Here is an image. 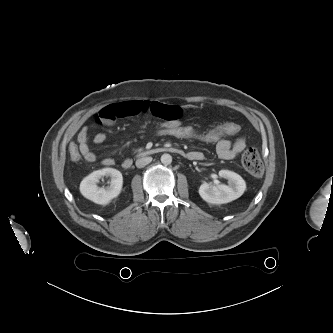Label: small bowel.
Here are the masks:
<instances>
[{
  "label": "small bowel",
  "mask_w": 333,
  "mask_h": 333,
  "mask_svg": "<svg viewBox=\"0 0 333 333\" xmlns=\"http://www.w3.org/2000/svg\"><path fill=\"white\" fill-rule=\"evenodd\" d=\"M143 114H151L161 120L162 123H178L181 122L183 116L182 108L161 103L158 101L133 100L121 103L110 104L100 109L94 116V122L98 125L110 124L119 118L139 116ZM106 140V135L98 133L94 137L95 144H102ZM77 143L81 155L87 162H95L96 154L89 146V129L84 126L77 135ZM246 147V141L243 137H239L234 141L222 139L216 144L217 155L224 160L236 158ZM187 156L190 159L200 160L203 155L200 152H189ZM114 159L107 157L102 160L105 166L114 165Z\"/></svg>",
  "instance_id": "c3829d8e"
}]
</instances>
